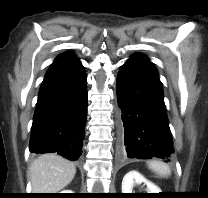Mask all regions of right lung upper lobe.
I'll list each match as a JSON object with an SVG mask.
<instances>
[{"label": "right lung upper lobe", "instance_id": "1", "mask_svg": "<svg viewBox=\"0 0 208 198\" xmlns=\"http://www.w3.org/2000/svg\"><path fill=\"white\" fill-rule=\"evenodd\" d=\"M79 61L77 57L72 52H65L59 55L55 61L51 64L50 68L48 69L46 76L60 70L64 67H67L75 62Z\"/></svg>", "mask_w": 208, "mask_h": 198}]
</instances>
